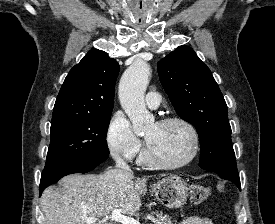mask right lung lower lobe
Returning <instances> with one entry per match:
<instances>
[{
	"mask_svg": "<svg viewBox=\"0 0 275 224\" xmlns=\"http://www.w3.org/2000/svg\"><path fill=\"white\" fill-rule=\"evenodd\" d=\"M108 158V154L97 155L89 160L65 164L42 172L40 194L43 190L62 177L72 173H87Z\"/></svg>",
	"mask_w": 275,
	"mask_h": 224,
	"instance_id": "right-lung-lower-lobe-1",
	"label": "right lung lower lobe"
}]
</instances>
